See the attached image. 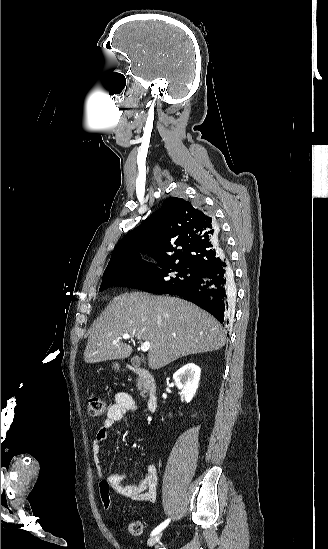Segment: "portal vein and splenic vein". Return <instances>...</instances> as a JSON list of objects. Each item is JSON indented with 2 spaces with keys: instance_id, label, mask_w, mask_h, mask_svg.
Listing matches in <instances>:
<instances>
[{
  "instance_id": "obj_1",
  "label": "portal vein and splenic vein",
  "mask_w": 328,
  "mask_h": 549,
  "mask_svg": "<svg viewBox=\"0 0 328 549\" xmlns=\"http://www.w3.org/2000/svg\"><path fill=\"white\" fill-rule=\"evenodd\" d=\"M122 339H133L132 335H122ZM140 341V339H139ZM113 343H117V341H113ZM141 343V351H143V353H146V351H149L150 349V343L149 341H145V343H142V341H140Z\"/></svg>"
}]
</instances>
